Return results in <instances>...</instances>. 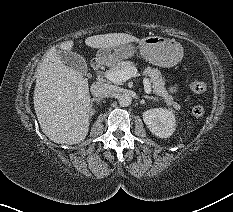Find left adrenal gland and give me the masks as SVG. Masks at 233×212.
Masks as SVG:
<instances>
[{"instance_id": "a2214340", "label": "left adrenal gland", "mask_w": 233, "mask_h": 212, "mask_svg": "<svg viewBox=\"0 0 233 212\" xmlns=\"http://www.w3.org/2000/svg\"><path fill=\"white\" fill-rule=\"evenodd\" d=\"M144 98H146V99H151V100H154V101H157V100H158L156 97L148 96V95H145Z\"/></svg>"}]
</instances>
